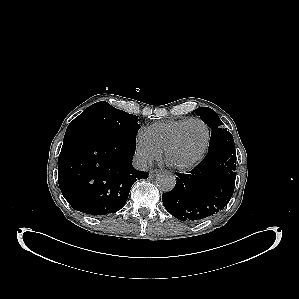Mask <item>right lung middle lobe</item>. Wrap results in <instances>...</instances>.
<instances>
[{"instance_id":"obj_1","label":"right lung middle lobe","mask_w":299,"mask_h":299,"mask_svg":"<svg viewBox=\"0 0 299 299\" xmlns=\"http://www.w3.org/2000/svg\"><path fill=\"white\" fill-rule=\"evenodd\" d=\"M140 128L138 117L101 101L88 107L67 127L66 135L72 133H114L136 136Z\"/></svg>"}]
</instances>
